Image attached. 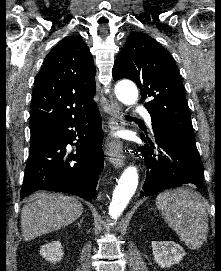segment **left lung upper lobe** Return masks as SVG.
Returning a JSON list of instances; mask_svg holds the SVG:
<instances>
[{
    "instance_id": "left-lung-upper-lobe-1",
    "label": "left lung upper lobe",
    "mask_w": 221,
    "mask_h": 271,
    "mask_svg": "<svg viewBox=\"0 0 221 271\" xmlns=\"http://www.w3.org/2000/svg\"><path fill=\"white\" fill-rule=\"evenodd\" d=\"M115 81L133 80L152 124H159L195 142L185 88L171 54L152 37L131 33L113 67Z\"/></svg>"
}]
</instances>
